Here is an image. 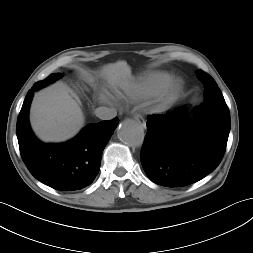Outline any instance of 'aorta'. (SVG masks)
I'll return each instance as SVG.
<instances>
[{"mask_svg": "<svg viewBox=\"0 0 253 253\" xmlns=\"http://www.w3.org/2000/svg\"><path fill=\"white\" fill-rule=\"evenodd\" d=\"M119 138L129 146L138 147L144 141V129L140 122L125 120L118 128Z\"/></svg>", "mask_w": 253, "mask_h": 253, "instance_id": "aorta-1", "label": "aorta"}]
</instances>
